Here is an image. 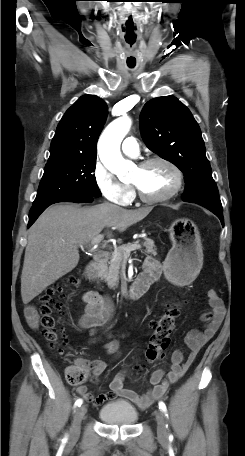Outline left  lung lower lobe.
I'll return each instance as SVG.
<instances>
[{
  "label": "left lung lower lobe",
  "instance_id": "1",
  "mask_svg": "<svg viewBox=\"0 0 245 456\" xmlns=\"http://www.w3.org/2000/svg\"><path fill=\"white\" fill-rule=\"evenodd\" d=\"M208 210H210L211 212H213L221 221L222 225L224 226V220H223V213L222 211H219V210H215V209H212V208H207Z\"/></svg>",
  "mask_w": 245,
  "mask_h": 456
}]
</instances>
